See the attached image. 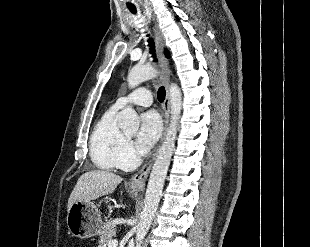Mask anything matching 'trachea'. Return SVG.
<instances>
[{
	"label": "trachea",
	"instance_id": "3493384b",
	"mask_svg": "<svg viewBox=\"0 0 310 247\" xmlns=\"http://www.w3.org/2000/svg\"><path fill=\"white\" fill-rule=\"evenodd\" d=\"M133 14H135L136 12L135 11H132ZM148 46L150 47V53L152 54L153 58H154V61L156 62L157 59H156V55H155V45H154V41L152 38H149L148 39ZM165 95H166V92H165V88L162 86L158 89V92H157V98L160 102H163L164 99H165Z\"/></svg>",
	"mask_w": 310,
	"mask_h": 247
}]
</instances>
